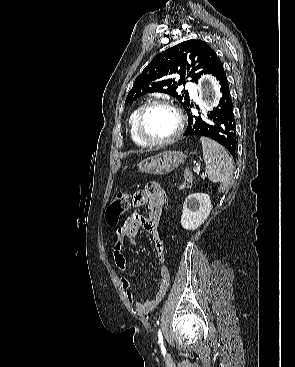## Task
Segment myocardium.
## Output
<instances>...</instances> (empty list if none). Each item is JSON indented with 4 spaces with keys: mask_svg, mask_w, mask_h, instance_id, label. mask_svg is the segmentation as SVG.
Here are the masks:
<instances>
[{
    "mask_svg": "<svg viewBox=\"0 0 295 367\" xmlns=\"http://www.w3.org/2000/svg\"><path fill=\"white\" fill-rule=\"evenodd\" d=\"M154 107H166L169 108L170 110H172L176 117H177V128L176 131L167 139L164 140H160V141H154V140H150L148 139L144 132H143V120L145 117V114ZM183 128H184V117L181 113V111L171 102L166 101V100H154V101H150L148 103H146L145 105H143L140 109L139 112L137 114L136 120H135V131L136 134L138 136V138L147 146H151V147H162V146H166L169 145L173 142H175L180 135L183 132Z\"/></svg>",
    "mask_w": 295,
    "mask_h": 367,
    "instance_id": "myocardium-1",
    "label": "myocardium"
}]
</instances>
